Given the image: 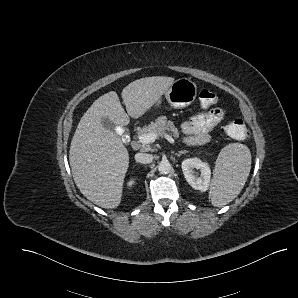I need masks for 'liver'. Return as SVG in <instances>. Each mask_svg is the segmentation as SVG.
<instances>
[{
  "label": "liver",
  "instance_id": "obj_1",
  "mask_svg": "<svg viewBox=\"0 0 298 298\" xmlns=\"http://www.w3.org/2000/svg\"><path fill=\"white\" fill-rule=\"evenodd\" d=\"M173 77L151 76L137 79L123 88L121 97L110 91L98 99L81 117L69 150V163L80 192L99 207L119 206L129 167V153L121 138L105 128L107 117L116 126H127L157 104L169 89Z\"/></svg>",
  "mask_w": 298,
  "mask_h": 298
}]
</instances>
